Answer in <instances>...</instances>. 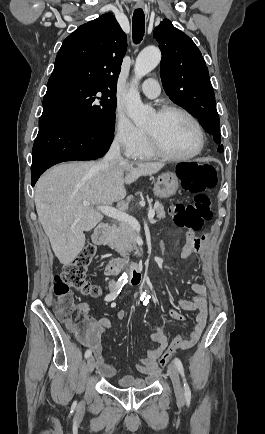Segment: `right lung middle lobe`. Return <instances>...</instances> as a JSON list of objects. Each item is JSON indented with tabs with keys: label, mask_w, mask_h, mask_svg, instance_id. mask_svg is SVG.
<instances>
[{
	"label": "right lung middle lobe",
	"mask_w": 265,
	"mask_h": 434,
	"mask_svg": "<svg viewBox=\"0 0 265 434\" xmlns=\"http://www.w3.org/2000/svg\"><path fill=\"white\" fill-rule=\"evenodd\" d=\"M116 85L89 76L49 78L43 110L61 111L75 122L113 133Z\"/></svg>",
	"instance_id": "obj_1"
}]
</instances>
